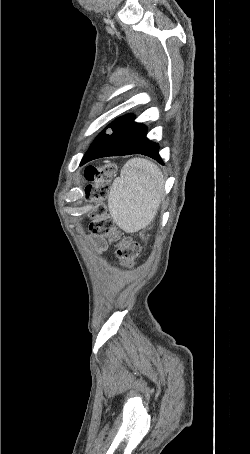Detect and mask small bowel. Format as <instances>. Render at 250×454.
I'll list each match as a JSON object with an SVG mask.
<instances>
[{
    "instance_id": "small-bowel-1",
    "label": "small bowel",
    "mask_w": 250,
    "mask_h": 454,
    "mask_svg": "<svg viewBox=\"0 0 250 454\" xmlns=\"http://www.w3.org/2000/svg\"><path fill=\"white\" fill-rule=\"evenodd\" d=\"M95 243L99 250H104L106 248L105 243L103 242L102 238H100V237L95 238Z\"/></svg>"
}]
</instances>
